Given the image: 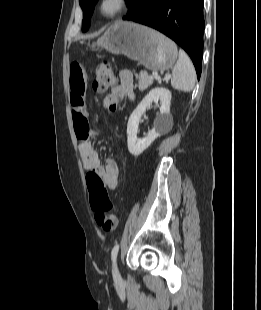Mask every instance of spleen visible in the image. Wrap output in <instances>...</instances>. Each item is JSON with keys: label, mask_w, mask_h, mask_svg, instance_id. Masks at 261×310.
Returning a JSON list of instances; mask_svg holds the SVG:
<instances>
[{"label": "spleen", "mask_w": 261, "mask_h": 310, "mask_svg": "<svg viewBox=\"0 0 261 310\" xmlns=\"http://www.w3.org/2000/svg\"><path fill=\"white\" fill-rule=\"evenodd\" d=\"M196 81L195 68L183 51H179V58L172 71L171 86L183 92H190L194 88Z\"/></svg>", "instance_id": "3e777b00"}]
</instances>
